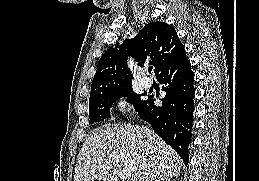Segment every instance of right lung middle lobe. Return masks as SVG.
<instances>
[{
	"label": "right lung middle lobe",
	"instance_id": "obj_1",
	"mask_svg": "<svg viewBox=\"0 0 259 181\" xmlns=\"http://www.w3.org/2000/svg\"><path fill=\"white\" fill-rule=\"evenodd\" d=\"M127 97V102L134 105L139 111L146 101L141 100V95L133 92L132 87L115 89L98 94L89 99V123H96L106 118H110V108L117 99Z\"/></svg>",
	"mask_w": 259,
	"mask_h": 181
}]
</instances>
